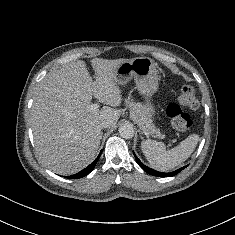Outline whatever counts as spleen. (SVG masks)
<instances>
[{
    "label": "spleen",
    "mask_w": 235,
    "mask_h": 235,
    "mask_svg": "<svg viewBox=\"0 0 235 235\" xmlns=\"http://www.w3.org/2000/svg\"><path fill=\"white\" fill-rule=\"evenodd\" d=\"M198 141L199 136L192 134L176 147L166 150L162 142L143 140L141 149L152 168L168 171L186 161L195 150Z\"/></svg>",
    "instance_id": "spleen-1"
}]
</instances>
